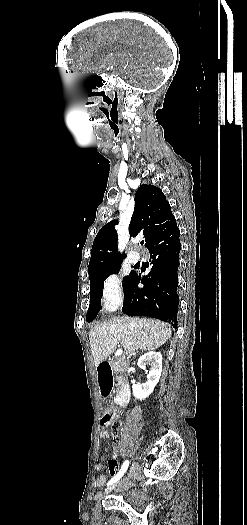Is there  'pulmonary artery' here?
Wrapping results in <instances>:
<instances>
[{"label": "pulmonary artery", "instance_id": "e3ab8cb5", "mask_svg": "<svg viewBox=\"0 0 247 525\" xmlns=\"http://www.w3.org/2000/svg\"><path fill=\"white\" fill-rule=\"evenodd\" d=\"M139 250L140 248L138 247L136 248V251H134V249L132 248L127 249L126 254L128 256V260L129 261H140Z\"/></svg>", "mask_w": 247, "mask_h": 525}]
</instances>
